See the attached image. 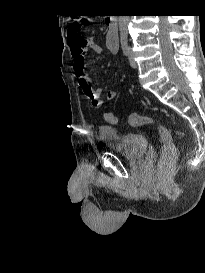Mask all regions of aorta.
<instances>
[{"label": "aorta", "mask_w": 205, "mask_h": 273, "mask_svg": "<svg viewBox=\"0 0 205 273\" xmlns=\"http://www.w3.org/2000/svg\"><path fill=\"white\" fill-rule=\"evenodd\" d=\"M129 18V16H119L118 18L120 38L122 41H126L128 39Z\"/></svg>", "instance_id": "aorta-1"}]
</instances>
